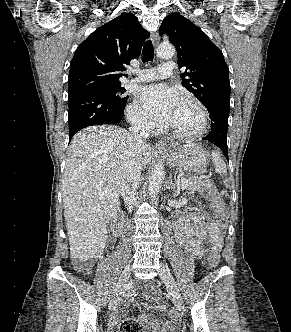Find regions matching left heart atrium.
<instances>
[{
	"mask_svg": "<svg viewBox=\"0 0 291 332\" xmlns=\"http://www.w3.org/2000/svg\"><path fill=\"white\" fill-rule=\"evenodd\" d=\"M138 99L148 115L161 123L170 122L173 111L179 103L177 91L164 84H153L140 88Z\"/></svg>",
	"mask_w": 291,
	"mask_h": 332,
	"instance_id": "obj_1",
	"label": "left heart atrium"
}]
</instances>
